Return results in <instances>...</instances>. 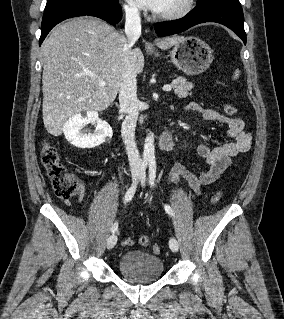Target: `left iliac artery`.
I'll use <instances>...</instances> for the list:
<instances>
[{
  "instance_id": "left-iliac-artery-1",
  "label": "left iliac artery",
  "mask_w": 284,
  "mask_h": 319,
  "mask_svg": "<svg viewBox=\"0 0 284 319\" xmlns=\"http://www.w3.org/2000/svg\"><path fill=\"white\" fill-rule=\"evenodd\" d=\"M155 178H156V161L154 158H151L149 160V183L152 187L154 186ZM164 209L168 215L170 216L174 215L173 210L169 205L165 204Z\"/></svg>"
}]
</instances>
